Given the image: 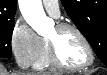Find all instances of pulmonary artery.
Here are the masks:
<instances>
[{
    "label": "pulmonary artery",
    "mask_w": 107,
    "mask_h": 75,
    "mask_svg": "<svg viewBox=\"0 0 107 75\" xmlns=\"http://www.w3.org/2000/svg\"><path fill=\"white\" fill-rule=\"evenodd\" d=\"M45 10L53 17L57 18L60 15L59 3L57 0H43Z\"/></svg>",
    "instance_id": "e3ab8cb5"
}]
</instances>
